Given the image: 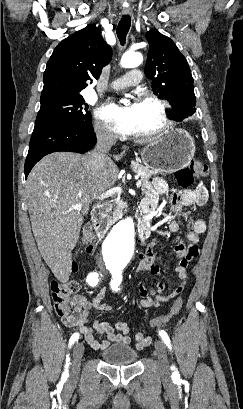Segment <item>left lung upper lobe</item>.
Instances as JSON below:
<instances>
[{
  "instance_id": "left-lung-upper-lobe-1",
  "label": "left lung upper lobe",
  "mask_w": 243,
  "mask_h": 409,
  "mask_svg": "<svg viewBox=\"0 0 243 409\" xmlns=\"http://www.w3.org/2000/svg\"><path fill=\"white\" fill-rule=\"evenodd\" d=\"M150 48L145 75L152 80L154 93L170 102L172 119L195 112L193 78L186 58L167 36L155 29L146 34Z\"/></svg>"
}]
</instances>
